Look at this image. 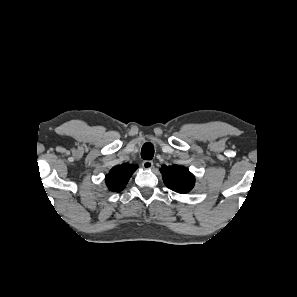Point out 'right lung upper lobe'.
Masks as SVG:
<instances>
[{
	"label": "right lung upper lobe",
	"instance_id": "1",
	"mask_svg": "<svg viewBox=\"0 0 297 297\" xmlns=\"http://www.w3.org/2000/svg\"><path fill=\"white\" fill-rule=\"evenodd\" d=\"M137 169L136 165L123 164L111 169L105 181L110 191L120 192Z\"/></svg>",
	"mask_w": 297,
	"mask_h": 297
}]
</instances>
